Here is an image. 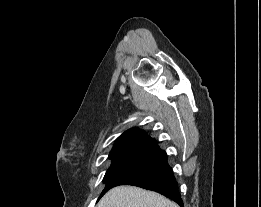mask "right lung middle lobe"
<instances>
[{"label": "right lung middle lobe", "instance_id": "right-lung-middle-lobe-1", "mask_svg": "<svg viewBox=\"0 0 261 207\" xmlns=\"http://www.w3.org/2000/svg\"><path fill=\"white\" fill-rule=\"evenodd\" d=\"M157 165H159L158 162L151 160H124L113 162L104 176L103 181L106 183V187L102 191L99 199L109 189L123 185L128 180L151 170Z\"/></svg>", "mask_w": 261, "mask_h": 207}]
</instances>
